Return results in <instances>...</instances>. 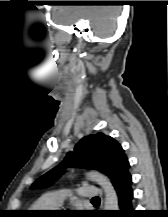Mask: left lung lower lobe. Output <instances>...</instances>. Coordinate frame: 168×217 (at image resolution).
I'll list each match as a JSON object with an SVG mask.
<instances>
[{
  "label": "left lung lower lobe",
  "instance_id": "0a47b994",
  "mask_svg": "<svg viewBox=\"0 0 168 217\" xmlns=\"http://www.w3.org/2000/svg\"><path fill=\"white\" fill-rule=\"evenodd\" d=\"M132 177L129 174V163L125 167V174L122 180L115 186V191L118 197L121 210L115 213L117 217H130L133 214L132 210Z\"/></svg>",
  "mask_w": 168,
  "mask_h": 217
}]
</instances>
